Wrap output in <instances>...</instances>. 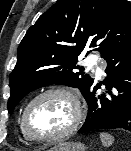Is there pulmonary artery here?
I'll use <instances>...</instances> for the list:
<instances>
[{"mask_svg":"<svg viewBox=\"0 0 131 151\" xmlns=\"http://www.w3.org/2000/svg\"><path fill=\"white\" fill-rule=\"evenodd\" d=\"M85 64L89 69L94 70V72L96 73V75L100 76L103 74L102 69L99 67L98 63H97V59L94 56H89L86 60H85Z\"/></svg>","mask_w":131,"mask_h":151,"instance_id":"pulmonary-artery-1","label":"pulmonary artery"}]
</instances>
